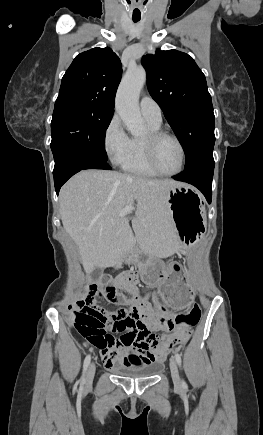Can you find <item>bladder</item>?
<instances>
[{"label": "bladder", "mask_w": 263, "mask_h": 435, "mask_svg": "<svg viewBox=\"0 0 263 435\" xmlns=\"http://www.w3.org/2000/svg\"><path fill=\"white\" fill-rule=\"evenodd\" d=\"M162 367V364L153 362L142 366H121L116 368L115 371L124 377L148 378L157 375Z\"/></svg>", "instance_id": "31cf9c89"}]
</instances>
